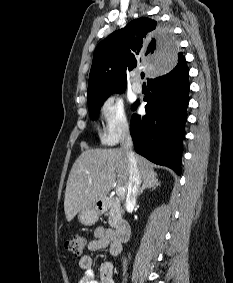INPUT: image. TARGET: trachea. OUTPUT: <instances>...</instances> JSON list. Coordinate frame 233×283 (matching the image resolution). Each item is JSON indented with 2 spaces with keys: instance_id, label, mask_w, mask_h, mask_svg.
Here are the masks:
<instances>
[{
  "instance_id": "trachea-1",
  "label": "trachea",
  "mask_w": 233,
  "mask_h": 283,
  "mask_svg": "<svg viewBox=\"0 0 233 283\" xmlns=\"http://www.w3.org/2000/svg\"><path fill=\"white\" fill-rule=\"evenodd\" d=\"M144 76H145V74H144V73H141V78H142V79L144 78Z\"/></svg>"
}]
</instances>
